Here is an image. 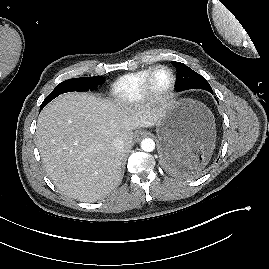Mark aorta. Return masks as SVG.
<instances>
[{
    "instance_id": "762f6f07",
    "label": "aorta",
    "mask_w": 269,
    "mask_h": 269,
    "mask_svg": "<svg viewBox=\"0 0 269 269\" xmlns=\"http://www.w3.org/2000/svg\"><path fill=\"white\" fill-rule=\"evenodd\" d=\"M141 149L145 152H152L155 149V142L151 138L143 139L141 142Z\"/></svg>"
}]
</instances>
